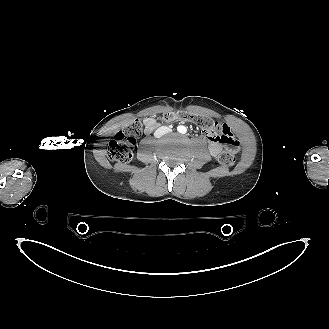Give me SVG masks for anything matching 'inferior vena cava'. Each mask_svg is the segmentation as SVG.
Listing matches in <instances>:
<instances>
[{"label":"inferior vena cava","mask_w":329,"mask_h":329,"mask_svg":"<svg viewBox=\"0 0 329 329\" xmlns=\"http://www.w3.org/2000/svg\"><path fill=\"white\" fill-rule=\"evenodd\" d=\"M170 128H168L167 126H161L159 127L155 132H154V136L156 138H160L161 136H163L164 134L170 132Z\"/></svg>","instance_id":"1"}]
</instances>
